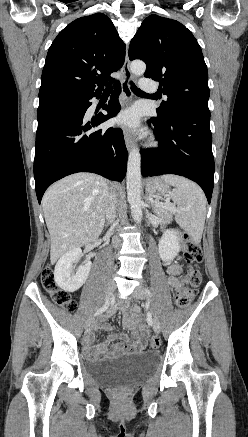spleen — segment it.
Here are the masks:
<instances>
[{
	"label": "spleen",
	"mask_w": 248,
	"mask_h": 437,
	"mask_svg": "<svg viewBox=\"0 0 248 437\" xmlns=\"http://www.w3.org/2000/svg\"><path fill=\"white\" fill-rule=\"evenodd\" d=\"M161 179L174 186L169 195L177 205V223L199 243L206 217L207 202L203 191L197 184L181 176L168 174Z\"/></svg>",
	"instance_id": "spleen-1"
}]
</instances>
